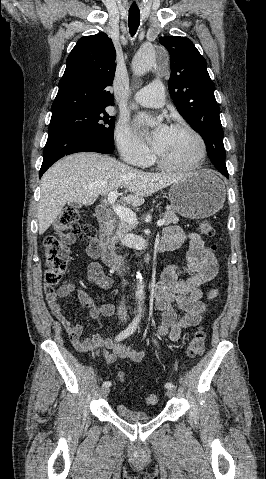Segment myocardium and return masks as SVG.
Masks as SVG:
<instances>
[{"mask_svg": "<svg viewBox=\"0 0 266 479\" xmlns=\"http://www.w3.org/2000/svg\"><path fill=\"white\" fill-rule=\"evenodd\" d=\"M170 129L181 130V131H186L190 133L197 142V146H198L197 154L192 161L181 163V164H171V163L164 162L156 154L155 162L158 165V167L168 171H190V170L197 169L202 164L206 156V144L203 137L193 127L183 123L173 124L171 125Z\"/></svg>", "mask_w": 266, "mask_h": 479, "instance_id": "1", "label": "myocardium"}]
</instances>
